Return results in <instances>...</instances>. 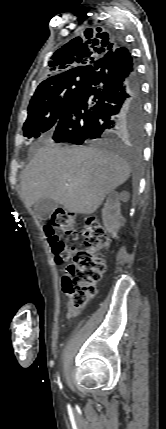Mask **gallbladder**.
<instances>
[{"mask_svg":"<svg viewBox=\"0 0 166 429\" xmlns=\"http://www.w3.org/2000/svg\"><path fill=\"white\" fill-rule=\"evenodd\" d=\"M58 206H59V203H57L51 198H46V199L39 200L35 204L34 209L37 217L40 220L44 221L50 217V215L53 213L55 209L58 208Z\"/></svg>","mask_w":166,"mask_h":429,"instance_id":"bac80fb5","label":"gallbladder"}]
</instances>
